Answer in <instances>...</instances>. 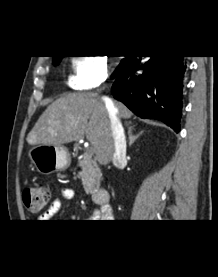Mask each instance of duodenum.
<instances>
[{"label": "duodenum", "instance_id": "obj_1", "mask_svg": "<svg viewBox=\"0 0 218 277\" xmlns=\"http://www.w3.org/2000/svg\"><path fill=\"white\" fill-rule=\"evenodd\" d=\"M95 202L100 206H106L110 203V192L107 189H100L93 195Z\"/></svg>", "mask_w": 218, "mask_h": 277}]
</instances>
